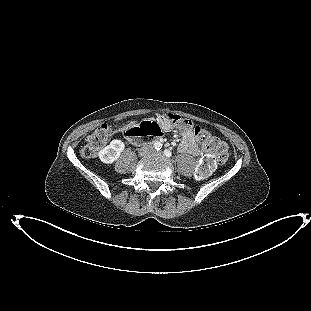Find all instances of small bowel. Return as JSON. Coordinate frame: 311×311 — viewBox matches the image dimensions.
I'll use <instances>...</instances> for the list:
<instances>
[{"label": "small bowel", "instance_id": "c3829d8e", "mask_svg": "<svg viewBox=\"0 0 311 311\" xmlns=\"http://www.w3.org/2000/svg\"><path fill=\"white\" fill-rule=\"evenodd\" d=\"M157 121L162 130H170L173 128V124L166 116L157 117ZM178 149L181 153H187L194 156L200 154L199 148L195 143V138L192 131H183L182 141Z\"/></svg>", "mask_w": 311, "mask_h": 311}]
</instances>
